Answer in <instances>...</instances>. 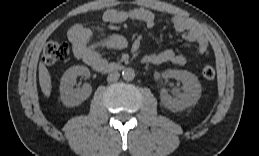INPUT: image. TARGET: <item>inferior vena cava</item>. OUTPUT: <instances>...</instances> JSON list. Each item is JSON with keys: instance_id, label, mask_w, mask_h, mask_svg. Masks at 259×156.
<instances>
[{"instance_id": "obj_1", "label": "inferior vena cava", "mask_w": 259, "mask_h": 156, "mask_svg": "<svg viewBox=\"0 0 259 156\" xmlns=\"http://www.w3.org/2000/svg\"><path fill=\"white\" fill-rule=\"evenodd\" d=\"M120 77V74L118 71H113L111 72L108 77H107V81L110 83V82H115L119 79Z\"/></svg>"}]
</instances>
